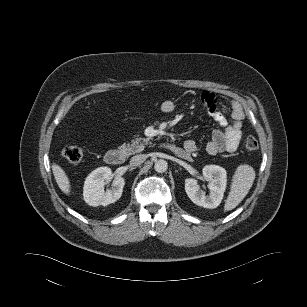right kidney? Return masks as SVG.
<instances>
[{
	"label": "right kidney",
	"instance_id": "ca27d5eb",
	"mask_svg": "<svg viewBox=\"0 0 307 307\" xmlns=\"http://www.w3.org/2000/svg\"><path fill=\"white\" fill-rule=\"evenodd\" d=\"M111 178L112 171L108 167H99L88 175L83 187V197L88 205L107 206L121 197L125 185L122 177H115L112 190L104 191L106 182Z\"/></svg>",
	"mask_w": 307,
	"mask_h": 307
}]
</instances>
